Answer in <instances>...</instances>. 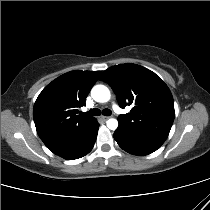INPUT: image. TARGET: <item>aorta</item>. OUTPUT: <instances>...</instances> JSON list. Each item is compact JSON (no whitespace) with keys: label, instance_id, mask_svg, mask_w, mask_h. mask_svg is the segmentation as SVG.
I'll return each instance as SVG.
<instances>
[{"label":"aorta","instance_id":"obj_1","mask_svg":"<svg viewBox=\"0 0 210 210\" xmlns=\"http://www.w3.org/2000/svg\"><path fill=\"white\" fill-rule=\"evenodd\" d=\"M91 96L96 102L105 103L110 100V91L104 85H95L91 90ZM107 127L111 130H116L118 121L111 118L107 121Z\"/></svg>","mask_w":210,"mask_h":210}]
</instances>
